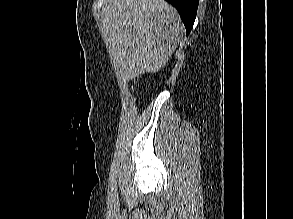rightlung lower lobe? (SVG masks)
<instances>
[{"label": "right lung lower lobe", "instance_id": "obj_1", "mask_svg": "<svg viewBox=\"0 0 293 219\" xmlns=\"http://www.w3.org/2000/svg\"><path fill=\"white\" fill-rule=\"evenodd\" d=\"M179 12L187 34L190 33L197 14L199 0H166Z\"/></svg>", "mask_w": 293, "mask_h": 219}]
</instances>
